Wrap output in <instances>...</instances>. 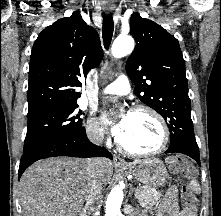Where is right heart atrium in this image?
<instances>
[{
    "mask_svg": "<svg viewBox=\"0 0 221 216\" xmlns=\"http://www.w3.org/2000/svg\"><path fill=\"white\" fill-rule=\"evenodd\" d=\"M86 134L90 141L100 143L105 138V131L101 125L93 118L90 117L86 122Z\"/></svg>",
    "mask_w": 221,
    "mask_h": 216,
    "instance_id": "right-heart-atrium-1",
    "label": "right heart atrium"
}]
</instances>
